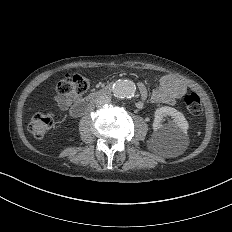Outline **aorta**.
Masks as SVG:
<instances>
[{"mask_svg":"<svg viewBox=\"0 0 232 232\" xmlns=\"http://www.w3.org/2000/svg\"><path fill=\"white\" fill-rule=\"evenodd\" d=\"M135 84L128 80H118L113 86V94L117 98L129 99L134 96Z\"/></svg>","mask_w":232,"mask_h":232,"instance_id":"762f6f07","label":"aorta"}]
</instances>
